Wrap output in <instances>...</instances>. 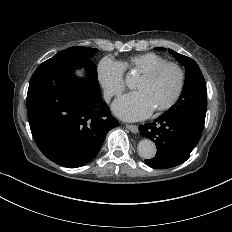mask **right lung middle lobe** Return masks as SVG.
Instances as JSON below:
<instances>
[{"label": "right lung middle lobe", "mask_w": 232, "mask_h": 232, "mask_svg": "<svg viewBox=\"0 0 232 232\" xmlns=\"http://www.w3.org/2000/svg\"><path fill=\"white\" fill-rule=\"evenodd\" d=\"M97 51L98 50L95 48L74 46L64 51L59 52L52 58H67V59H72V60H84V59L92 58ZM86 69L89 70L90 73H92L94 77H97V68L95 64H89L88 66H86Z\"/></svg>", "instance_id": "1"}]
</instances>
